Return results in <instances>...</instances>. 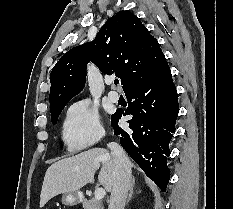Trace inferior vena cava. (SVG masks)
<instances>
[{
    "label": "inferior vena cava",
    "instance_id": "602c4592",
    "mask_svg": "<svg viewBox=\"0 0 233 209\" xmlns=\"http://www.w3.org/2000/svg\"><path fill=\"white\" fill-rule=\"evenodd\" d=\"M107 146L111 150L115 162L109 209H124L128 190L131 186L130 161L119 144L111 142Z\"/></svg>",
    "mask_w": 233,
    "mask_h": 209
}]
</instances>
